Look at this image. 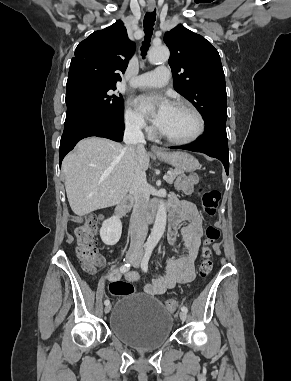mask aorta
<instances>
[{
	"instance_id": "aorta-1",
	"label": "aorta",
	"mask_w": 291,
	"mask_h": 381,
	"mask_svg": "<svg viewBox=\"0 0 291 381\" xmlns=\"http://www.w3.org/2000/svg\"><path fill=\"white\" fill-rule=\"evenodd\" d=\"M169 55L170 53L166 46H156V47H152L149 50L148 60L151 64H159V63L167 61L169 58ZM166 218H167L166 206L162 201H160L158 205V209H157L155 223L151 231V234L147 240L146 246L148 249H153L159 242L160 238L162 237L166 227Z\"/></svg>"
}]
</instances>
